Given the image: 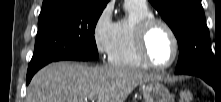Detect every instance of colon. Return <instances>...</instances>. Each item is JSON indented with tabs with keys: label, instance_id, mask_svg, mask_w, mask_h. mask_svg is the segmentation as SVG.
I'll list each match as a JSON object with an SVG mask.
<instances>
[{
	"label": "colon",
	"instance_id": "1",
	"mask_svg": "<svg viewBox=\"0 0 221 102\" xmlns=\"http://www.w3.org/2000/svg\"><path fill=\"white\" fill-rule=\"evenodd\" d=\"M193 101V95L190 91L185 90L180 94L179 102H192Z\"/></svg>",
	"mask_w": 221,
	"mask_h": 102
}]
</instances>
